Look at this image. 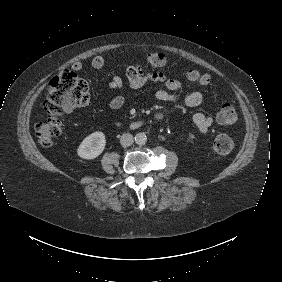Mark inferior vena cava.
<instances>
[{
    "label": "inferior vena cava",
    "instance_id": "1",
    "mask_svg": "<svg viewBox=\"0 0 282 282\" xmlns=\"http://www.w3.org/2000/svg\"><path fill=\"white\" fill-rule=\"evenodd\" d=\"M133 142H134V138H133V135L130 133H124L120 138V144L123 147H128L132 145Z\"/></svg>",
    "mask_w": 282,
    "mask_h": 282
}]
</instances>
